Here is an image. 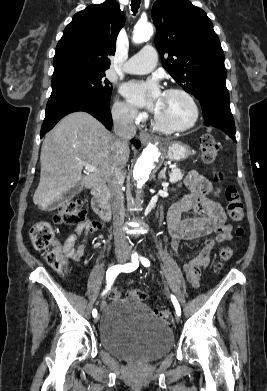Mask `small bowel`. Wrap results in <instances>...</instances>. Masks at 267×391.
I'll return each instance as SVG.
<instances>
[{
  "label": "small bowel",
  "instance_id": "1",
  "mask_svg": "<svg viewBox=\"0 0 267 391\" xmlns=\"http://www.w3.org/2000/svg\"><path fill=\"white\" fill-rule=\"evenodd\" d=\"M185 185L190 193L174 203L168 211L171 250L178 256V249L183 241L196 240L211 233L216 234L214 238L205 241L198 256L183 266L189 283L197 288L202 271L211 261L215 244L230 240L232 227L226 223V214L222 205L210 197L212 184L205 177L192 171L187 175ZM186 211L194 212L196 217L182 220L181 215ZM101 228V223L97 221L83 220L77 224L60 247L65 265L70 260L78 262L81 259L89 235Z\"/></svg>",
  "mask_w": 267,
  "mask_h": 391
}]
</instances>
